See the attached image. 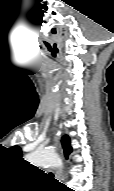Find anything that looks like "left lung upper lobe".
<instances>
[{
  "label": "left lung upper lobe",
  "instance_id": "obj_1",
  "mask_svg": "<svg viewBox=\"0 0 114 191\" xmlns=\"http://www.w3.org/2000/svg\"><path fill=\"white\" fill-rule=\"evenodd\" d=\"M61 143H62V146H63V149H64L65 157L68 158L70 153L72 152L69 137L67 135L63 136L62 140H61ZM11 150L13 151V153L17 154L18 157L21 156V149L18 146H13L11 148Z\"/></svg>",
  "mask_w": 114,
  "mask_h": 191
}]
</instances>
